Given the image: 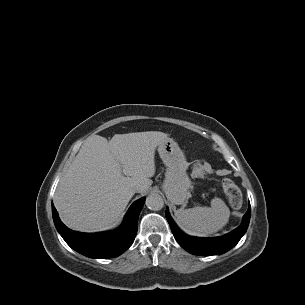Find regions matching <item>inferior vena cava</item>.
Instances as JSON below:
<instances>
[{"instance_id":"1","label":"inferior vena cava","mask_w":305,"mask_h":305,"mask_svg":"<svg viewBox=\"0 0 305 305\" xmlns=\"http://www.w3.org/2000/svg\"><path fill=\"white\" fill-rule=\"evenodd\" d=\"M140 186H133L132 187V190L134 191V192H139L140 191Z\"/></svg>"}]
</instances>
